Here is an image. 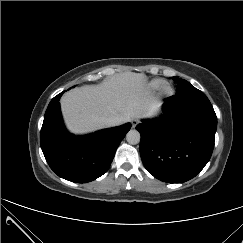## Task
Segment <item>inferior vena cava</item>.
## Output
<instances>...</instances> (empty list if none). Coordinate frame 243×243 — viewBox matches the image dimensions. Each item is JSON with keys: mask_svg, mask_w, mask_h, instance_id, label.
<instances>
[{"mask_svg": "<svg viewBox=\"0 0 243 243\" xmlns=\"http://www.w3.org/2000/svg\"><path fill=\"white\" fill-rule=\"evenodd\" d=\"M122 124V119L116 116H111L106 119V125L111 127V126H117Z\"/></svg>", "mask_w": 243, "mask_h": 243, "instance_id": "inferior-vena-cava-1", "label": "inferior vena cava"}]
</instances>
